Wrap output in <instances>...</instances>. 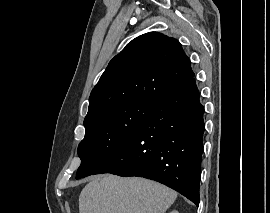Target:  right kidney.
Returning a JSON list of instances; mask_svg holds the SVG:
<instances>
[{"instance_id": "1", "label": "right kidney", "mask_w": 270, "mask_h": 213, "mask_svg": "<svg viewBox=\"0 0 270 213\" xmlns=\"http://www.w3.org/2000/svg\"><path fill=\"white\" fill-rule=\"evenodd\" d=\"M169 213H179L178 211L174 210V211H171Z\"/></svg>"}]
</instances>
